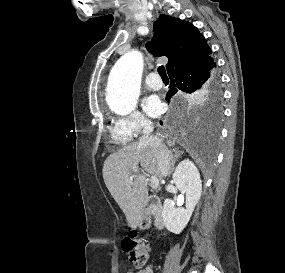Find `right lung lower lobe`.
Returning a JSON list of instances; mask_svg holds the SVG:
<instances>
[{
    "label": "right lung lower lobe",
    "instance_id": "right-lung-lower-lobe-1",
    "mask_svg": "<svg viewBox=\"0 0 285 273\" xmlns=\"http://www.w3.org/2000/svg\"><path fill=\"white\" fill-rule=\"evenodd\" d=\"M168 75L171 89L166 99L169 101L178 90L191 94L205 88L217 75L216 63L210 53L175 68Z\"/></svg>",
    "mask_w": 285,
    "mask_h": 273
}]
</instances>
